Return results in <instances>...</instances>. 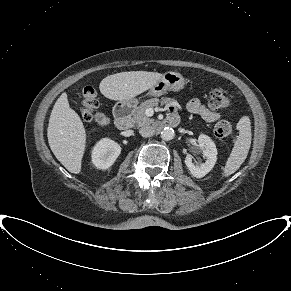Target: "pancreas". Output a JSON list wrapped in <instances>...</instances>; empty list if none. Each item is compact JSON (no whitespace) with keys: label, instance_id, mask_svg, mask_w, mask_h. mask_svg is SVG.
I'll return each instance as SVG.
<instances>
[{"label":"pancreas","instance_id":"cf45deb5","mask_svg":"<svg viewBox=\"0 0 291 291\" xmlns=\"http://www.w3.org/2000/svg\"><path fill=\"white\" fill-rule=\"evenodd\" d=\"M174 100L171 98L163 97L161 100L157 98L146 100L145 102L141 103L135 110L132 118L131 123L132 126H145L153 123L154 119H151L146 116L145 111L148 108H153L158 106L159 103L161 105H168L169 103H172Z\"/></svg>","mask_w":291,"mask_h":291}]
</instances>
